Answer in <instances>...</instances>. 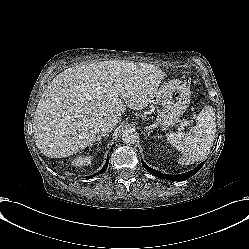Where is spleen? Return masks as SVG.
Returning <instances> with one entry per match:
<instances>
[{
  "mask_svg": "<svg viewBox=\"0 0 249 249\" xmlns=\"http://www.w3.org/2000/svg\"><path fill=\"white\" fill-rule=\"evenodd\" d=\"M214 136L215 123L204 110L199 114L196 126L188 133H171L167 141L181 151V162L190 163L204 159L213 145Z\"/></svg>",
  "mask_w": 249,
  "mask_h": 249,
  "instance_id": "1",
  "label": "spleen"
}]
</instances>
